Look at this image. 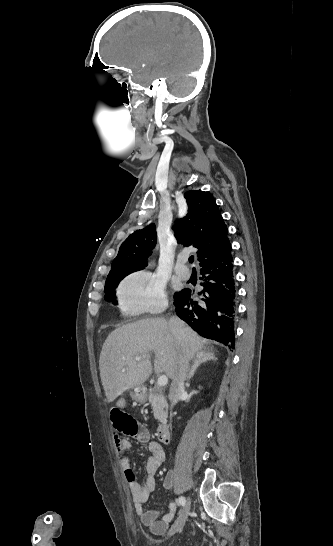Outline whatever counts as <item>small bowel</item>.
I'll use <instances>...</instances> for the list:
<instances>
[{"instance_id": "1", "label": "small bowel", "mask_w": 333, "mask_h": 546, "mask_svg": "<svg viewBox=\"0 0 333 546\" xmlns=\"http://www.w3.org/2000/svg\"><path fill=\"white\" fill-rule=\"evenodd\" d=\"M118 404L121 406V409L125 408L126 404L124 401H119ZM121 412L124 413L123 410H121ZM124 414L131 424L135 426V431L130 436H133L140 442H147L150 437L148 430L142 425H139L131 416L126 413ZM112 425L114 428L113 422ZM114 444L116 451L119 454L125 476L129 483L136 514L140 517V520L144 525L150 526L156 533L164 532L174 516L176 504L170 503L169 513L163 515L160 519H157V511H145L143 508L144 503L148 500L150 493L155 487V474L158 468L165 461V452L163 447L161 444L155 441H150L148 443L150 455L145 466V477L142 482H138L133 473L131 460L126 454L128 449L131 447V441L127 438H121L115 434ZM164 485L166 487H170L171 479H166Z\"/></svg>"}]
</instances>
